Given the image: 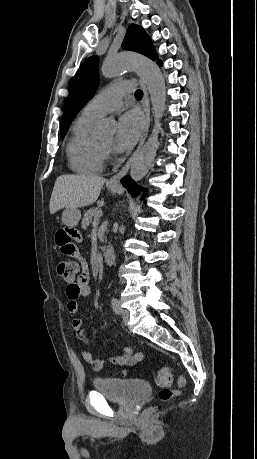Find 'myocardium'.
Wrapping results in <instances>:
<instances>
[{"label": "myocardium", "instance_id": "myocardium-1", "mask_svg": "<svg viewBox=\"0 0 257 459\" xmlns=\"http://www.w3.org/2000/svg\"><path fill=\"white\" fill-rule=\"evenodd\" d=\"M99 143H100V146H101L102 150L104 151V153H108L110 151V149H111L110 146H106V145L102 144L101 142H99Z\"/></svg>", "mask_w": 257, "mask_h": 459}]
</instances>
